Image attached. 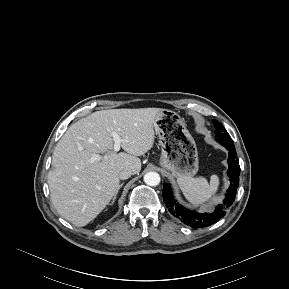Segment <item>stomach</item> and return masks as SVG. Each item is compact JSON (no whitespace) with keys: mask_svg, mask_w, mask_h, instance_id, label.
<instances>
[{"mask_svg":"<svg viewBox=\"0 0 289 289\" xmlns=\"http://www.w3.org/2000/svg\"><path fill=\"white\" fill-rule=\"evenodd\" d=\"M161 146L160 165L174 177H192L198 171V152L184 119L176 112L161 109L154 123Z\"/></svg>","mask_w":289,"mask_h":289,"instance_id":"stomach-1","label":"stomach"}]
</instances>
